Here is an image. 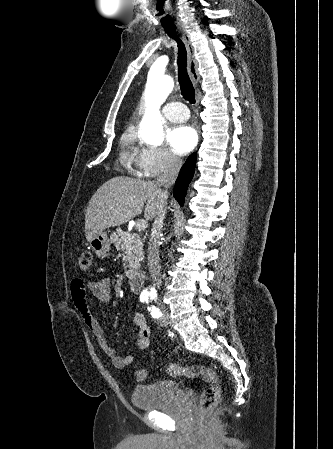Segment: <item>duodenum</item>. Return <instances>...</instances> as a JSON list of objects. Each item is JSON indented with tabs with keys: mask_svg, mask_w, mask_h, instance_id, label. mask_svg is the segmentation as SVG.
Segmentation results:
<instances>
[{
	"mask_svg": "<svg viewBox=\"0 0 333 449\" xmlns=\"http://www.w3.org/2000/svg\"><path fill=\"white\" fill-rule=\"evenodd\" d=\"M144 281V274L141 271L133 272L129 275L128 285L133 293L141 291Z\"/></svg>",
	"mask_w": 333,
	"mask_h": 449,
	"instance_id": "410a0bca",
	"label": "duodenum"
}]
</instances>
